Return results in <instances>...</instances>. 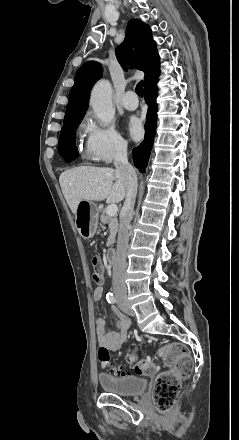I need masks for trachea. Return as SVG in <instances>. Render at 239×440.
<instances>
[{
	"instance_id": "3493384b",
	"label": "trachea",
	"mask_w": 239,
	"mask_h": 440,
	"mask_svg": "<svg viewBox=\"0 0 239 440\" xmlns=\"http://www.w3.org/2000/svg\"><path fill=\"white\" fill-rule=\"evenodd\" d=\"M135 91L139 97H143V80L136 85Z\"/></svg>"
}]
</instances>
